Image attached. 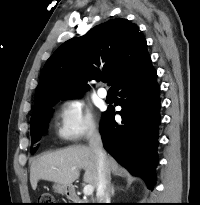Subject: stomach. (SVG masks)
Returning a JSON list of instances; mask_svg holds the SVG:
<instances>
[{"instance_id": "obj_1", "label": "stomach", "mask_w": 200, "mask_h": 205, "mask_svg": "<svg viewBox=\"0 0 200 205\" xmlns=\"http://www.w3.org/2000/svg\"><path fill=\"white\" fill-rule=\"evenodd\" d=\"M53 189L56 193L67 195L70 193V186L62 185V184H54Z\"/></svg>"}]
</instances>
